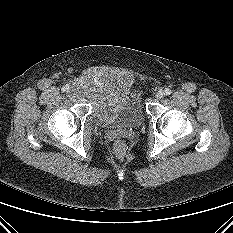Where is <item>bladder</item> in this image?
<instances>
[{"mask_svg": "<svg viewBox=\"0 0 233 233\" xmlns=\"http://www.w3.org/2000/svg\"><path fill=\"white\" fill-rule=\"evenodd\" d=\"M73 88L91 102V116L108 128H135L145 118L140 92L128 74L104 69L81 75Z\"/></svg>", "mask_w": 233, "mask_h": 233, "instance_id": "bladder-1", "label": "bladder"}]
</instances>
